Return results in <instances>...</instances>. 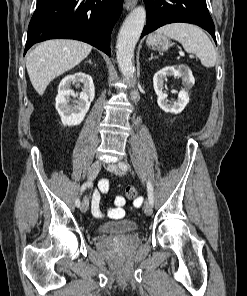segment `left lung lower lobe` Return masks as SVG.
<instances>
[{"mask_svg":"<svg viewBox=\"0 0 247 296\" xmlns=\"http://www.w3.org/2000/svg\"><path fill=\"white\" fill-rule=\"evenodd\" d=\"M147 24L142 36L157 28L175 22L196 24L215 38V27L207 9L206 0H144Z\"/></svg>","mask_w":247,"mask_h":296,"instance_id":"left-lung-lower-lobe-1","label":"left lung lower lobe"}]
</instances>
